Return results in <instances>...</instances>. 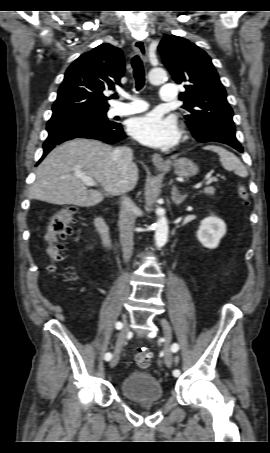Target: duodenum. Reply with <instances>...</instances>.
I'll list each match as a JSON object with an SVG mask.
<instances>
[{
  "label": "duodenum",
  "instance_id": "duodenum-1",
  "mask_svg": "<svg viewBox=\"0 0 270 453\" xmlns=\"http://www.w3.org/2000/svg\"><path fill=\"white\" fill-rule=\"evenodd\" d=\"M95 226L98 231V234L101 238V241L105 247H110L112 243V237L110 230L104 218L102 216H97L95 219Z\"/></svg>",
  "mask_w": 270,
  "mask_h": 453
}]
</instances>
